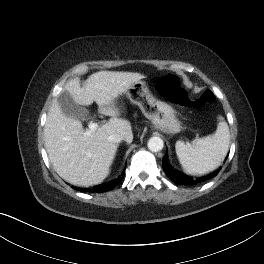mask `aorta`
Here are the masks:
<instances>
[{
	"label": "aorta",
	"mask_w": 264,
	"mask_h": 264,
	"mask_svg": "<svg viewBox=\"0 0 264 264\" xmlns=\"http://www.w3.org/2000/svg\"><path fill=\"white\" fill-rule=\"evenodd\" d=\"M147 146L151 152H159L163 149L164 142L160 137L154 136L149 139Z\"/></svg>",
	"instance_id": "762f6f07"
}]
</instances>
